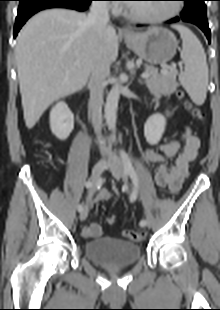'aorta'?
Listing matches in <instances>:
<instances>
[{"label": "aorta", "mask_w": 220, "mask_h": 310, "mask_svg": "<svg viewBox=\"0 0 220 310\" xmlns=\"http://www.w3.org/2000/svg\"><path fill=\"white\" fill-rule=\"evenodd\" d=\"M120 81H116L115 85L112 87L108 93L106 104H105V118L109 129L115 133L116 131V121H117V109L120 97Z\"/></svg>", "instance_id": "obj_1"}]
</instances>
